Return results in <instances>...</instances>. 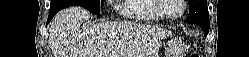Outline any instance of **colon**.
Returning a JSON list of instances; mask_svg holds the SVG:
<instances>
[{"instance_id": "obj_1", "label": "colon", "mask_w": 249, "mask_h": 57, "mask_svg": "<svg viewBox=\"0 0 249 57\" xmlns=\"http://www.w3.org/2000/svg\"><path fill=\"white\" fill-rule=\"evenodd\" d=\"M191 57H197V55L196 54H192V56Z\"/></svg>"}]
</instances>
